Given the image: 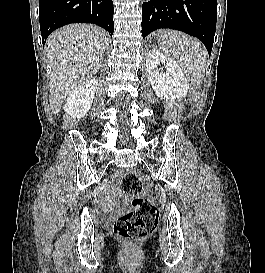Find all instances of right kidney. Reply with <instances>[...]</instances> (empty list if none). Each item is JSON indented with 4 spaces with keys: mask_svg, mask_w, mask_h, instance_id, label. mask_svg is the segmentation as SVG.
<instances>
[{
    "mask_svg": "<svg viewBox=\"0 0 265 273\" xmlns=\"http://www.w3.org/2000/svg\"><path fill=\"white\" fill-rule=\"evenodd\" d=\"M98 80L89 78L78 84L68 95L64 111L73 118L84 117L91 108Z\"/></svg>",
    "mask_w": 265,
    "mask_h": 273,
    "instance_id": "1",
    "label": "right kidney"
}]
</instances>
